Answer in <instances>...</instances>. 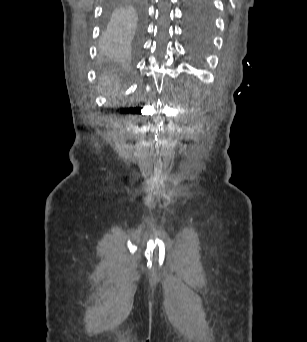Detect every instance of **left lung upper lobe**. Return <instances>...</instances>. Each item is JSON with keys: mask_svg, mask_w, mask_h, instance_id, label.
I'll return each mask as SVG.
<instances>
[{"mask_svg": "<svg viewBox=\"0 0 307 342\" xmlns=\"http://www.w3.org/2000/svg\"><path fill=\"white\" fill-rule=\"evenodd\" d=\"M209 0H189L186 11L188 39L197 46L210 42L213 18Z\"/></svg>", "mask_w": 307, "mask_h": 342, "instance_id": "5c2ea615", "label": "left lung upper lobe"}]
</instances>
